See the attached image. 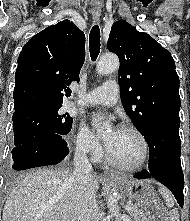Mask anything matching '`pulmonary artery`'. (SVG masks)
Returning <instances> with one entry per match:
<instances>
[{
    "mask_svg": "<svg viewBox=\"0 0 190 221\" xmlns=\"http://www.w3.org/2000/svg\"><path fill=\"white\" fill-rule=\"evenodd\" d=\"M118 97V84L114 80H107L102 86L84 95L78 104L113 106L118 101Z\"/></svg>",
    "mask_w": 190,
    "mask_h": 221,
    "instance_id": "e3ab8cb5",
    "label": "pulmonary artery"
}]
</instances>
